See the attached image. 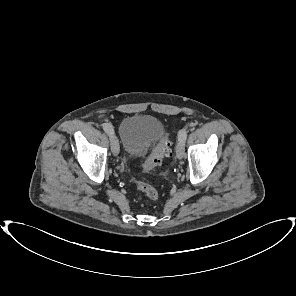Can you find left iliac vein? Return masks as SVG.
<instances>
[{
  "instance_id": "1",
  "label": "left iliac vein",
  "mask_w": 296,
  "mask_h": 296,
  "mask_svg": "<svg viewBox=\"0 0 296 296\" xmlns=\"http://www.w3.org/2000/svg\"><path fill=\"white\" fill-rule=\"evenodd\" d=\"M184 155V141L178 140L176 145V156L178 159H182Z\"/></svg>"
}]
</instances>
